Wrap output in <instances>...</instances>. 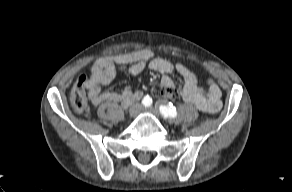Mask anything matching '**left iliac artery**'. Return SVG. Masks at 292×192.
Masks as SVG:
<instances>
[{"label": "left iliac artery", "mask_w": 292, "mask_h": 192, "mask_svg": "<svg viewBox=\"0 0 292 192\" xmlns=\"http://www.w3.org/2000/svg\"><path fill=\"white\" fill-rule=\"evenodd\" d=\"M159 109L164 118H175L177 116V111L171 103L160 105Z\"/></svg>", "instance_id": "1"}]
</instances>
